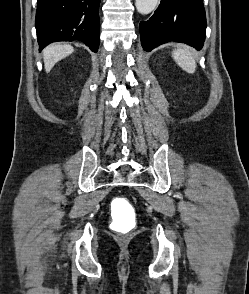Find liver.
<instances>
[{"label": "liver", "mask_w": 249, "mask_h": 294, "mask_svg": "<svg viewBox=\"0 0 249 294\" xmlns=\"http://www.w3.org/2000/svg\"><path fill=\"white\" fill-rule=\"evenodd\" d=\"M73 51L74 48L68 44H52L46 47L43 51L46 73L50 72L58 61L69 56Z\"/></svg>", "instance_id": "1"}]
</instances>
